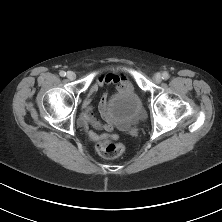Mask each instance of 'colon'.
<instances>
[{"label": "colon", "mask_w": 222, "mask_h": 222, "mask_svg": "<svg viewBox=\"0 0 222 222\" xmlns=\"http://www.w3.org/2000/svg\"><path fill=\"white\" fill-rule=\"evenodd\" d=\"M97 150L105 158H118L125 152L124 147L115 142L102 140L97 144Z\"/></svg>", "instance_id": "5ec220e1"}]
</instances>
